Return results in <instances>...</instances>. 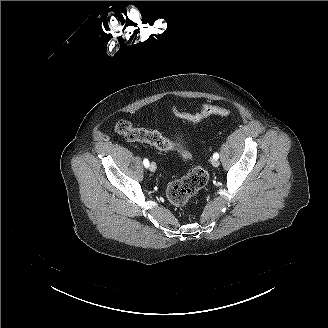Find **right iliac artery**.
<instances>
[{
  "instance_id": "1",
  "label": "right iliac artery",
  "mask_w": 328,
  "mask_h": 328,
  "mask_svg": "<svg viewBox=\"0 0 328 328\" xmlns=\"http://www.w3.org/2000/svg\"><path fill=\"white\" fill-rule=\"evenodd\" d=\"M143 164L146 168L149 167V161L147 159H144Z\"/></svg>"
}]
</instances>
